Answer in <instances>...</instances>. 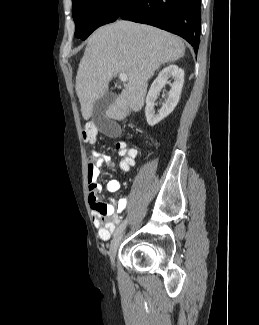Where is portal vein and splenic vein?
<instances>
[{"label":"portal vein and splenic vein","instance_id":"portal-vein-and-splenic-vein-1","mask_svg":"<svg viewBox=\"0 0 259 325\" xmlns=\"http://www.w3.org/2000/svg\"><path fill=\"white\" fill-rule=\"evenodd\" d=\"M119 79H120L121 81H123V82L128 81V77H127V75H126V74H123V73L119 74Z\"/></svg>","mask_w":259,"mask_h":325}]
</instances>
